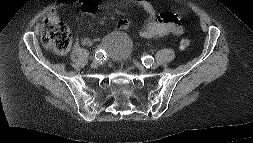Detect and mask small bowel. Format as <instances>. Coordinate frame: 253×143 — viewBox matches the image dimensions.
<instances>
[{"mask_svg":"<svg viewBox=\"0 0 253 143\" xmlns=\"http://www.w3.org/2000/svg\"><path fill=\"white\" fill-rule=\"evenodd\" d=\"M148 16L143 29L141 30V37L150 39L158 38L166 35H181L183 27L177 15L172 11L156 12L153 4L148 0H133ZM77 4L81 11L85 14H91L96 11L98 7V0H59L57 6L51 9L48 13V20H58V9L65 5ZM130 26L128 19H120L117 24V30H126ZM100 38L84 37L80 43L83 46H91L94 42L99 41ZM127 51H124V55Z\"/></svg>","mask_w":253,"mask_h":143,"instance_id":"c3829d8e","label":"small bowel"}]
</instances>
